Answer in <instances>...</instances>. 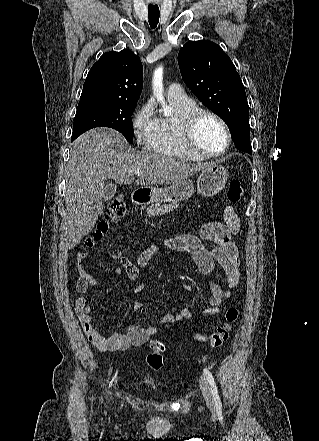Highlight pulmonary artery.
Returning a JSON list of instances; mask_svg holds the SVG:
<instances>
[{
	"label": "pulmonary artery",
	"mask_w": 319,
	"mask_h": 441,
	"mask_svg": "<svg viewBox=\"0 0 319 441\" xmlns=\"http://www.w3.org/2000/svg\"><path fill=\"white\" fill-rule=\"evenodd\" d=\"M167 95L169 97V99H173V100H178V101H185L188 98V96L186 95L185 91L183 90V88L179 85V84H171L168 87L167 90Z\"/></svg>",
	"instance_id": "1"
}]
</instances>
